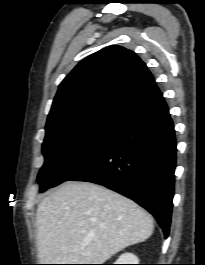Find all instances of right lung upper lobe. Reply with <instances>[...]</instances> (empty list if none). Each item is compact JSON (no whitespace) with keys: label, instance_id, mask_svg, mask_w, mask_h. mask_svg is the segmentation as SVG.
<instances>
[{"label":"right lung upper lobe","instance_id":"cb5924a9","mask_svg":"<svg viewBox=\"0 0 205 265\" xmlns=\"http://www.w3.org/2000/svg\"><path fill=\"white\" fill-rule=\"evenodd\" d=\"M161 97L152 74L134 52L109 46L83 59L61 82L46 133L97 122L122 125Z\"/></svg>","mask_w":205,"mask_h":265}]
</instances>
